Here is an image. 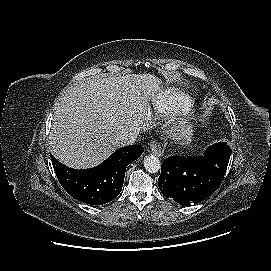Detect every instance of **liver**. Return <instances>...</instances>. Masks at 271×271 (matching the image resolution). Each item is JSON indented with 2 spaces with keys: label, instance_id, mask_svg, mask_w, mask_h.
<instances>
[{
  "label": "liver",
  "instance_id": "liver-1",
  "mask_svg": "<svg viewBox=\"0 0 271 271\" xmlns=\"http://www.w3.org/2000/svg\"><path fill=\"white\" fill-rule=\"evenodd\" d=\"M161 83L149 73L89 77L77 83L55 105L51 153L71 168L99 165L118 148L119 134L153 126L149 101Z\"/></svg>",
  "mask_w": 271,
  "mask_h": 271
}]
</instances>
